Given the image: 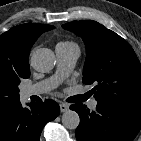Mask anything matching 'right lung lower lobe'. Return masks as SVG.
Here are the masks:
<instances>
[{"label": "right lung lower lobe", "mask_w": 141, "mask_h": 141, "mask_svg": "<svg viewBox=\"0 0 141 141\" xmlns=\"http://www.w3.org/2000/svg\"><path fill=\"white\" fill-rule=\"evenodd\" d=\"M23 108L20 101L0 111V141H39L43 127L60 113L53 100L32 102Z\"/></svg>", "instance_id": "1"}]
</instances>
